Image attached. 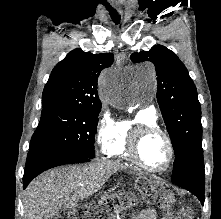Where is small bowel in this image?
Instances as JSON below:
<instances>
[{
	"label": "small bowel",
	"instance_id": "c3829d8e",
	"mask_svg": "<svg viewBox=\"0 0 221 219\" xmlns=\"http://www.w3.org/2000/svg\"><path fill=\"white\" fill-rule=\"evenodd\" d=\"M137 219H157V215L153 209H146Z\"/></svg>",
	"mask_w": 221,
	"mask_h": 219
}]
</instances>
